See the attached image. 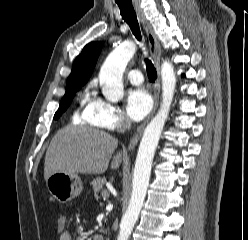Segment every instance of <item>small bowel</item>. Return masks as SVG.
<instances>
[{"mask_svg": "<svg viewBox=\"0 0 248 240\" xmlns=\"http://www.w3.org/2000/svg\"><path fill=\"white\" fill-rule=\"evenodd\" d=\"M59 240H72V234L69 231H65L60 234Z\"/></svg>", "mask_w": 248, "mask_h": 240, "instance_id": "c3829d8e", "label": "small bowel"}]
</instances>
